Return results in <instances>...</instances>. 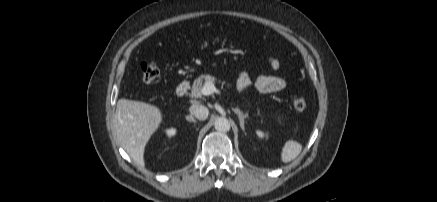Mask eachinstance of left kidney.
<instances>
[{"mask_svg":"<svg viewBox=\"0 0 437 202\" xmlns=\"http://www.w3.org/2000/svg\"><path fill=\"white\" fill-rule=\"evenodd\" d=\"M257 135L260 137V138H263L264 136H265V134L262 132V131H260V130H257Z\"/></svg>","mask_w":437,"mask_h":202,"instance_id":"obj_1","label":"left kidney"}]
</instances>
